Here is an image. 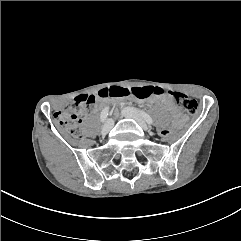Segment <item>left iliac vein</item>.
I'll return each mask as SVG.
<instances>
[{"label":"left iliac vein","mask_w":241,"mask_h":241,"mask_svg":"<svg viewBox=\"0 0 241 241\" xmlns=\"http://www.w3.org/2000/svg\"><path fill=\"white\" fill-rule=\"evenodd\" d=\"M121 113L123 116H125L127 118L134 119L143 130H145V131L149 130V126L147 125L143 116L140 114V112L137 109L132 108V107H126L122 110Z\"/></svg>","instance_id":"1"}]
</instances>
